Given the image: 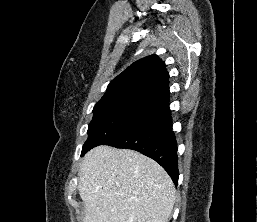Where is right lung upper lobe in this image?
<instances>
[{
    "label": "right lung upper lobe",
    "mask_w": 257,
    "mask_h": 222,
    "mask_svg": "<svg viewBox=\"0 0 257 222\" xmlns=\"http://www.w3.org/2000/svg\"><path fill=\"white\" fill-rule=\"evenodd\" d=\"M169 75L157 55L142 58L115 77L101 98L104 101L142 99L160 105L169 103Z\"/></svg>",
    "instance_id": "right-lung-upper-lobe-1"
}]
</instances>
